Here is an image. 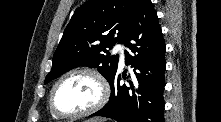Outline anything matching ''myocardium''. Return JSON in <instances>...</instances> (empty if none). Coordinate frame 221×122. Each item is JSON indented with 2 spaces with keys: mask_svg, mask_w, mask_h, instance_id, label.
I'll list each match as a JSON object with an SVG mask.
<instances>
[{
  "mask_svg": "<svg viewBox=\"0 0 221 122\" xmlns=\"http://www.w3.org/2000/svg\"><path fill=\"white\" fill-rule=\"evenodd\" d=\"M80 74L91 76L93 79L96 80V82L98 83L99 89H100L99 98L91 107H89L83 111L76 112V113H64V112L60 111L55 105V101H54L55 92H56L57 88L59 87V85L64 80H66L67 78H69L71 76L80 75ZM109 95H110L109 84H108L106 78L99 71H97L96 69H93V68H89V67L75 68V69H72V70L64 73L54 83V85L51 89V92H50V96H49V106H50L52 113L54 115H56L57 117L80 118V117L88 116V115L93 114V113L97 112L98 110H100L107 103V101L109 99Z\"/></svg>",
  "mask_w": 221,
  "mask_h": 122,
  "instance_id": "f54148a6",
  "label": "myocardium"
}]
</instances>
